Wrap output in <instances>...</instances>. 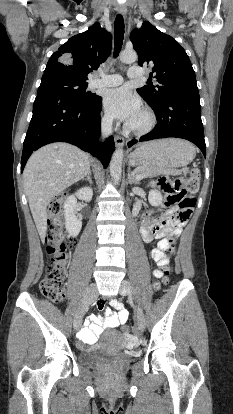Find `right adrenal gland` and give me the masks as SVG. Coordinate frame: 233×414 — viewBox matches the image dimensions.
Wrapping results in <instances>:
<instances>
[{"instance_id":"2a0ac1e0","label":"right adrenal gland","mask_w":233,"mask_h":414,"mask_svg":"<svg viewBox=\"0 0 233 414\" xmlns=\"http://www.w3.org/2000/svg\"><path fill=\"white\" fill-rule=\"evenodd\" d=\"M91 172H89L88 173V175L86 176V178L85 179H83V180H87L90 184H92L93 182H92V178H91Z\"/></svg>"}]
</instances>
